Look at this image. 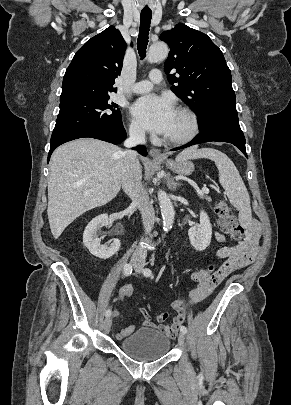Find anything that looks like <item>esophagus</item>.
Wrapping results in <instances>:
<instances>
[{
	"instance_id": "34e87169",
	"label": "esophagus",
	"mask_w": 291,
	"mask_h": 405,
	"mask_svg": "<svg viewBox=\"0 0 291 405\" xmlns=\"http://www.w3.org/2000/svg\"><path fill=\"white\" fill-rule=\"evenodd\" d=\"M149 154L154 159H162L163 155L159 149L151 148Z\"/></svg>"
}]
</instances>
